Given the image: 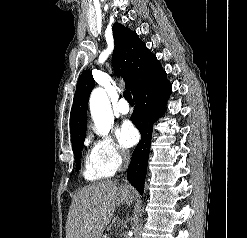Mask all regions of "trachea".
Instances as JSON below:
<instances>
[{
    "label": "trachea",
    "mask_w": 247,
    "mask_h": 238,
    "mask_svg": "<svg viewBox=\"0 0 247 238\" xmlns=\"http://www.w3.org/2000/svg\"><path fill=\"white\" fill-rule=\"evenodd\" d=\"M123 96H124V98H125L130 104L134 103L133 98H132L131 93H130L129 90L124 91Z\"/></svg>",
    "instance_id": "1"
}]
</instances>
